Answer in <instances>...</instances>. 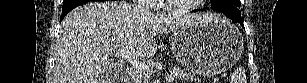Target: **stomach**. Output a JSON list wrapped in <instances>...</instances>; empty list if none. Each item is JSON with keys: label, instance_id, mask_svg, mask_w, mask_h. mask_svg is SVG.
Returning <instances> with one entry per match:
<instances>
[{"label": "stomach", "instance_id": "1", "mask_svg": "<svg viewBox=\"0 0 307 83\" xmlns=\"http://www.w3.org/2000/svg\"><path fill=\"white\" fill-rule=\"evenodd\" d=\"M172 51L181 65L196 74H219L239 59L243 38L238 29L224 20L184 25L172 35Z\"/></svg>", "mask_w": 307, "mask_h": 83}]
</instances>
